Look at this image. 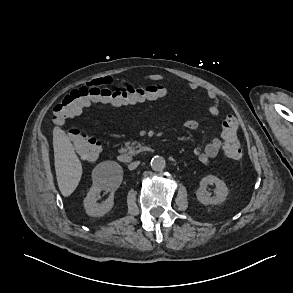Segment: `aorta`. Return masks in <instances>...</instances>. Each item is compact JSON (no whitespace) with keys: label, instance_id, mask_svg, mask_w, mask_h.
Here are the masks:
<instances>
[{"label":"aorta","instance_id":"762f6f07","mask_svg":"<svg viewBox=\"0 0 293 293\" xmlns=\"http://www.w3.org/2000/svg\"><path fill=\"white\" fill-rule=\"evenodd\" d=\"M165 159L161 156H155L151 160V168L154 171H162L165 167Z\"/></svg>","mask_w":293,"mask_h":293}]
</instances>
